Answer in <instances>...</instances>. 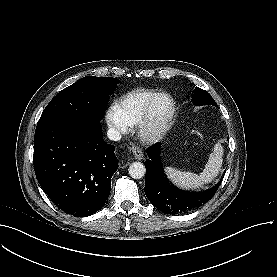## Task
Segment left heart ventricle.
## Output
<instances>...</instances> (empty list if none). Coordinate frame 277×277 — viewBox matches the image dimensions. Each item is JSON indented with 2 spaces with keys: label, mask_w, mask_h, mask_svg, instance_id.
Returning a JSON list of instances; mask_svg holds the SVG:
<instances>
[{
  "label": "left heart ventricle",
  "mask_w": 277,
  "mask_h": 277,
  "mask_svg": "<svg viewBox=\"0 0 277 277\" xmlns=\"http://www.w3.org/2000/svg\"><path fill=\"white\" fill-rule=\"evenodd\" d=\"M169 109V103L165 99H159L155 105L156 115H165Z\"/></svg>",
  "instance_id": "b2bd125f"
}]
</instances>
